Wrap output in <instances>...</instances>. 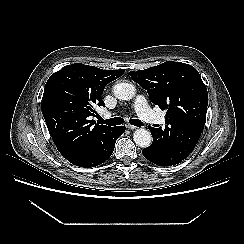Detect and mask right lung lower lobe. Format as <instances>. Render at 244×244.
Returning <instances> with one entry per match:
<instances>
[{"label":"right lung lower lobe","instance_id":"obj_1","mask_svg":"<svg viewBox=\"0 0 244 244\" xmlns=\"http://www.w3.org/2000/svg\"><path fill=\"white\" fill-rule=\"evenodd\" d=\"M125 126L114 127L105 140L95 149L88 152L75 153L66 159L79 167L89 168L104 163L112 154L117 138L123 134Z\"/></svg>","mask_w":244,"mask_h":244}]
</instances>
